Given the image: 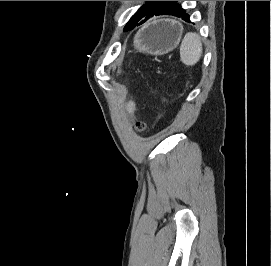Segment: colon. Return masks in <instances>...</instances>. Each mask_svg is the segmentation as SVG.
Segmentation results:
<instances>
[{
  "instance_id": "1",
  "label": "colon",
  "mask_w": 271,
  "mask_h": 266,
  "mask_svg": "<svg viewBox=\"0 0 271 266\" xmlns=\"http://www.w3.org/2000/svg\"><path fill=\"white\" fill-rule=\"evenodd\" d=\"M136 129H137L138 131H143V130L145 129V123H144V122H141V121L137 122V123H136Z\"/></svg>"
}]
</instances>
